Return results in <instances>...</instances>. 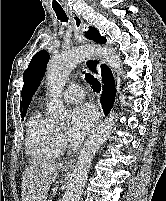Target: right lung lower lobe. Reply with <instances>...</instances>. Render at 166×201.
<instances>
[{
    "label": "right lung lower lobe",
    "mask_w": 166,
    "mask_h": 201,
    "mask_svg": "<svg viewBox=\"0 0 166 201\" xmlns=\"http://www.w3.org/2000/svg\"><path fill=\"white\" fill-rule=\"evenodd\" d=\"M102 77L104 82V91L101 96V103L104 114L108 115L113 106L115 98V85L112 73L110 69L105 65L102 66Z\"/></svg>",
    "instance_id": "right-lung-lower-lobe-1"
}]
</instances>
